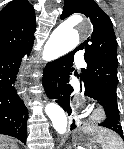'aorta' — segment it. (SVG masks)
Masks as SVG:
<instances>
[{
  "label": "aorta",
  "mask_w": 124,
  "mask_h": 149,
  "mask_svg": "<svg viewBox=\"0 0 124 149\" xmlns=\"http://www.w3.org/2000/svg\"><path fill=\"white\" fill-rule=\"evenodd\" d=\"M83 18L80 15H74L62 22L50 35L46 43L47 53L65 54L74 49L79 43V33L76 29ZM46 114L50 118L54 129L63 134L67 129V117L63 109L55 103L46 106Z\"/></svg>",
  "instance_id": "obj_1"
}]
</instances>
